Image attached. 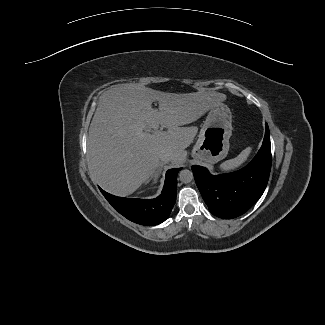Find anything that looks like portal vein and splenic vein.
<instances>
[{
    "mask_svg": "<svg viewBox=\"0 0 325 325\" xmlns=\"http://www.w3.org/2000/svg\"><path fill=\"white\" fill-rule=\"evenodd\" d=\"M157 128H155L156 130ZM163 128H160V130H162ZM137 135L139 136H142V137H147V136H150V133H147V132H143V128L142 127H138L137 128Z\"/></svg>",
    "mask_w": 325,
    "mask_h": 325,
    "instance_id": "18ae733b",
    "label": "portal vein and splenic vein"
}]
</instances>
